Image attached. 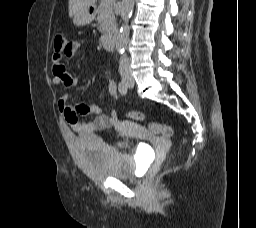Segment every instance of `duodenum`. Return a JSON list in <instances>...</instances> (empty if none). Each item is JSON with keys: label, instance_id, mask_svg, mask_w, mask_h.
Returning a JSON list of instances; mask_svg holds the SVG:
<instances>
[{"label": "duodenum", "instance_id": "1", "mask_svg": "<svg viewBox=\"0 0 256 228\" xmlns=\"http://www.w3.org/2000/svg\"><path fill=\"white\" fill-rule=\"evenodd\" d=\"M93 11L94 9L92 8L91 12ZM115 40H116V34L113 32H110L102 36L101 43L106 50H112L115 45Z\"/></svg>", "mask_w": 256, "mask_h": 228}]
</instances>
